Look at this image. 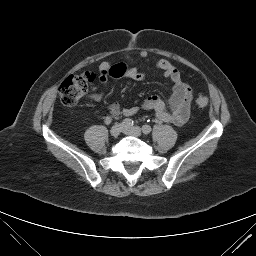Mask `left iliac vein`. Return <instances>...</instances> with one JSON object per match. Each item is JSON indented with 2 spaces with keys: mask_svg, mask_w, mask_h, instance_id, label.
Returning a JSON list of instances; mask_svg holds the SVG:
<instances>
[{
  "mask_svg": "<svg viewBox=\"0 0 256 256\" xmlns=\"http://www.w3.org/2000/svg\"><path fill=\"white\" fill-rule=\"evenodd\" d=\"M123 132L127 135L135 136V137H140L142 135V130L138 126L134 127H129V128H124Z\"/></svg>",
  "mask_w": 256,
  "mask_h": 256,
  "instance_id": "left-iliac-vein-1",
  "label": "left iliac vein"
}]
</instances>
